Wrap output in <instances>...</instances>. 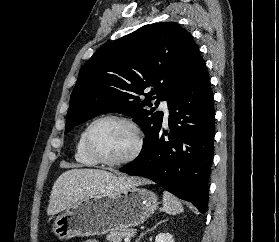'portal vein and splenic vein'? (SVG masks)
I'll return each instance as SVG.
<instances>
[{
  "label": "portal vein and splenic vein",
  "instance_id": "obj_1",
  "mask_svg": "<svg viewBox=\"0 0 279 242\" xmlns=\"http://www.w3.org/2000/svg\"><path fill=\"white\" fill-rule=\"evenodd\" d=\"M124 241H125V242H130V238L127 237V238L124 239Z\"/></svg>",
  "mask_w": 279,
  "mask_h": 242
}]
</instances>
